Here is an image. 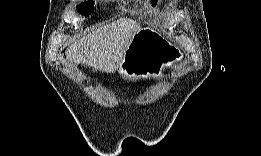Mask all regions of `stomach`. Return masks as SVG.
Here are the masks:
<instances>
[{"mask_svg": "<svg viewBox=\"0 0 261 156\" xmlns=\"http://www.w3.org/2000/svg\"><path fill=\"white\" fill-rule=\"evenodd\" d=\"M179 56L159 34L147 27L140 28L125 52L121 73L129 78L158 77Z\"/></svg>", "mask_w": 261, "mask_h": 156, "instance_id": "obj_1", "label": "stomach"}]
</instances>
